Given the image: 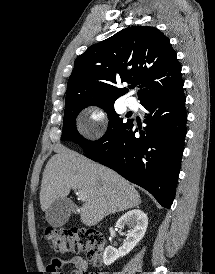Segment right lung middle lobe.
<instances>
[{
	"label": "right lung middle lobe",
	"mask_w": 215,
	"mask_h": 274,
	"mask_svg": "<svg viewBox=\"0 0 215 274\" xmlns=\"http://www.w3.org/2000/svg\"><path fill=\"white\" fill-rule=\"evenodd\" d=\"M91 105L98 106L102 108L104 111L107 112L108 118H109V126L102 138H100L97 141H90L87 139H84L77 131L76 129V123L75 119L79 112ZM129 121L126 123L123 122V119L119 117V115L114 110V102H100V103H94V102H79L72 105L65 106V114H64V120H63V132L61 136V140H72L79 144L83 149L90 148L92 146H95L97 144L103 143L105 140H107L109 137H111L113 134H115L118 130L123 128L125 125L128 124Z\"/></svg>",
	"instance_id": "dd1d6c3e"
}]
</instances>
